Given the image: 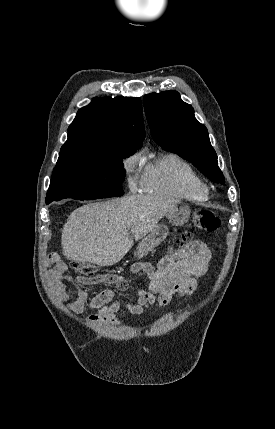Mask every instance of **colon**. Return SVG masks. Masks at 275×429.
<instances>
[{"mask_svg": "<svg viewBox=\"0 0 275 429\" xmlns=\"http://www.w3.org/2000/svg\"><path fill=\"white\" fill-rule=\"evenodd\" d=\"M193 223L194 226L205 232H215L220 226V220L212 212L205 209H196L193 213ZM191 240V235L189 233L184 234L180 240L177 241L178 246H185ZM55 259L56 256H53ZM73 268L80 273L84 278H96L99 275L96 274V268L92 263L89 262H73Z\"/></svg>", "mask_w": 275, "mask_h": 429, "instance_id": "colon-1", "label": "colon"}]
</instances>
